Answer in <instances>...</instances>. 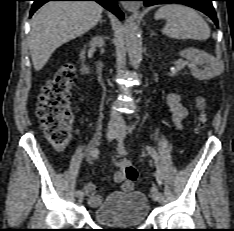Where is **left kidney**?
Wrapping results in <instances>:
<instances>
[{
  "label": "left kidney",
  "mask_w": 234,
  "mask_h": 231,
  "mask_svg": "<svg viewBox=\"0 0 234 231\" xmlns=\"http://www.w3.org/2000/svg\"><path fill=\"white\" fill-rule=\"evenodd\" d=\"M179 55L190 62L191 74L199 80H210L219 76L224 70V64L219 59L196 48H187ZM198 66H203V70Z\"/></svg>",
  "instance_id": "left-kidney-1"
}]
</instances>
